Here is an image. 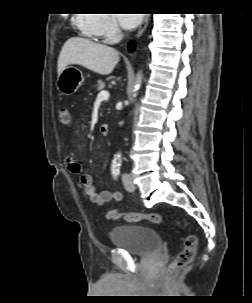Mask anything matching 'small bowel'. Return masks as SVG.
<instances>
[{
	"mask_svg": "<svg viewBox=\"0 0 252 303\" xmlns=\"http://www.w3.org/2000/svg\"><path fill=\"white\" fill-rule=\"evenodd\" d=\"M65 164L68 171L79 177L80 184L84 192L89 196L92 203L97 206H104L110 201H119L121 199V193L111 192L108 190H103L97 192L95 190L92 177L81 170L80 164L76 160L74 152L68 153L65 158Z\"/></svg>",
	"mask_w": 252,
	"mask_h": 303,
	"instance_id": "1",
	"label": "small bowel"
}]
</instances>
